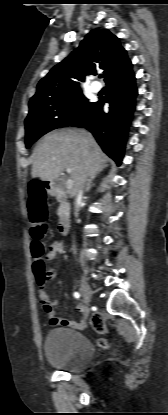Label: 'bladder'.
Returning a JSON list of instances; mask_svg holds the SVG:
<instances>
[{"label": "bladder", "mask_w": 168, "mask_h": 415, "mask_svg": "<svg viewBox=\"0 0 168 415\" xmlns=\"http://www.w3.org/2000/svg\"><path fill=\"white\" fill-rule=\"evenodd\" d=\"M44 352L51 366L72 373L85 369L95 354L93 345L81 332L64 327L48 332Z\"/></svg>", "instance_id": "bladder-1"}]
</instances>
